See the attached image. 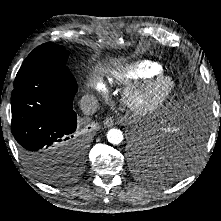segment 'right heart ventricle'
<instances>
[{
  "label": "right heart ventricle",
  "instance_id": "obj_1",
  "mask_svg": "<svg viewBox=\"0 0 221 221\" xmlns=\"http://www.w3.org/2000/svg\"><path fill=\"white\" fill-rule=\"evenodd\" d=\"M163 72V67L154 61L141 60L133 63L116 76L118 81L129 83L148 79Z\"/></svg>",
  "mask_w": 221,
  "mask_h": 221
}]
</instances>
